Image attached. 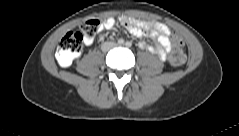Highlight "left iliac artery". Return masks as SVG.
Segmentation results:
<instances>
[{"label":"left iliac artery","instance_id":"obj_1","mask_svg":"<svg viewBox=\"0 0 239 136\" xmlns=\"http://www.w3.org/2000/svg\"><path fill=\"white\" fill-rule=\"evenodd\" d=\"M131 45H132L131 42H129V41L126 42V46H127V47H131Z\"/></svg>","mask_w":239,"mask_h":136}]
</instances>
